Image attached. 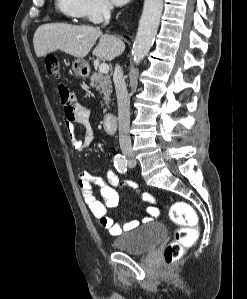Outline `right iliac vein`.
Returning <instances> with one entry per match:
<instances>
[{
    "label": "right iliac vein",
    "mask_w": 247,
    "mask_h": 299,
    "mask_svg": "<svg viewBox=\"0 0 247 299\" xmlns=\"http://www.w3.org/2000/svg\"><path fill=\"white\" fill-rule=\"evenodd\" d=\"M127 159H128L129 165H132V166L136 165V160L132 156L127 155Z\"/></svg>",
    "instance_id": "63e3f726"
}]
</instances>
